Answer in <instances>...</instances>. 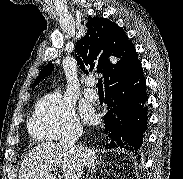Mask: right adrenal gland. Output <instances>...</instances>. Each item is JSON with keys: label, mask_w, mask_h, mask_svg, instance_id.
I'll list each match as a JSON object with an SVG mask.
<instances>
[{"label": "right adrenal gland", "mask_w": 183, "mask_h": 179, "mask_svg": "<svg viewBox=\"0 0 183 179\" xmlns=\"http://www.w3.org/2000/svg\"><path fill=\"white\" fill-rule=\"evenodd\" d=\"M101 161L94 162L90 167H88V171L90 173L89 179H92L94 172H96L97 168H100ZM89 173H87V176H89Z\"/></svg>", "instance_id": "right-adrenal-gland-1"}]
</instances>
